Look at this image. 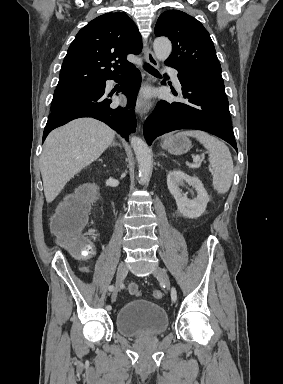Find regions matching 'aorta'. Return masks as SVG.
<instances>
[{
    "mask_svg": "<svg viewBox=\"0 0 283 384\" xmlns=\"http://www.w3.org/2000/svg\"><path fill=\"white\" fill-rule=\"evenodd\" d=\"M155 56L158 60L164 61L171 54L172 45L169 39L165 37L156 38L153 43ZM149 108V107H148ZM131 146L135 152L138 161V170L141 183H146L149 180L152 156L151 151L141 138L132 136L130 138Z\"/></svg>",
    "mask_w": 283,
    "mask_h": 384,
    "instance_id": "obj_1",
    "label": "aorta"
}]
</instances>
